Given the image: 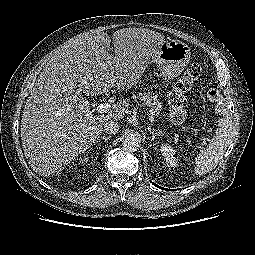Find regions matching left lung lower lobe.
<instances>
[{"label": "left lung lower lobe", "instance_id": "obj_1", "mask_svg": "<svg viewBox=\"0 0 255 255\" xmlns=\"http://www.w3.org/2000/svg\"><path fill=\"white\" fill-rule=\"evenodd\" d=\"M152 184H154L153 182H152ZM156 187H159L158 185H156V184H154ZM159 188H161V189H164V188H162V187H159ZM166 190V189H165ZM168 190V189H167Z\"/></svg>", "mask_w": 255, "mask_h": 255}]
</instances>
